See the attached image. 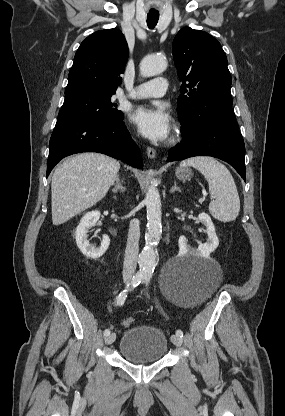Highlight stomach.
<instances>
[{
    "label": "stomach",
    "mask_w": 285,
    "mask_h": 416,
    "mask_svg": "<svg viewBox=\"0 0 285 416\" xmlns=\"http://www.w3.org/2000/svg\"><path fill=\"white\" fill-rule=\"evenodd\" d=\"M175 176L178 180H189L192 176V172L189 168H177Z\"/></svg>",
    "instance_id": "stomach-1"
}]
</instances>
